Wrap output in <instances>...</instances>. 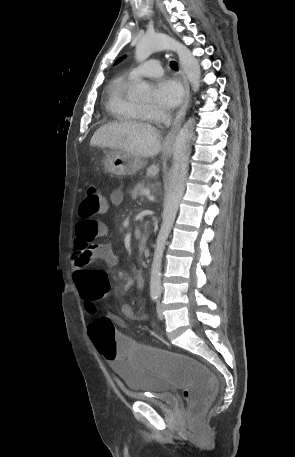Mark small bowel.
I'll list each match as a JSON object with an SVG mask.
<instances>
[{
  "label": "small bowel",
  "instance_id": "c3829d8e",
  "mask_svg": "<svg viewBox=\"0 0 295 457\" xmlns=\"http://www.w3.org/2000/svg\"><path fill=\"white\" fill-rule=\"evenodd\" d=\"M123 199L124 195L121 190H114L110 194V203L113 206L120 205ZM107 233V225L95 219H84L76 226L74 242L76 253L71 260V269L72 279L80 294L83 287L87 286V271H90L88 269L90 264L95 261H104L108 266L119 264V258L113 252L111 246L108 243L96 241L97 238L104 237ZM135 280L138 287H143L144 280L139 272H135ZM121 313L127 319H133L135 317L133 307L128 303L121 306ZM110 320L120 326H124V322L119 318L112 317ZM129 341L133 340L130 338ZM110 361L112 362V360Z\"/></svg>",
  "mask_w": 295,
  "mask_h": 457
}]
</instances>
